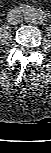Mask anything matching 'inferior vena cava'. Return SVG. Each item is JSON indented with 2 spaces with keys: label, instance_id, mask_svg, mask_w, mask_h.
I'll return each instance as SVG.
<instances>
[{
  "label": "inferior vena cava",
  "instance_id": "1",
  "mask_svg": "<svg viewBox=\"0 0 51 153\" xmlns=\"http://www.w3.org/2000/svg\"><path fill=\"white\" fill-rule=\"evenodd\" d=\"M22 20V12L19 9L11 10L7 15V21L12 25L19 24Z\"/></svg>",
  "mask_w": 51,
  "mask_h": 153
}]
</instances>
